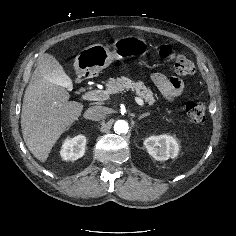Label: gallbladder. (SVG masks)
Instances as JSON below:
<instances>
[{
    "instance_id": "obj_1",
    "label": "gallbladder",
    "mask_w": 236,
    "mask_h": 236,
    "mask_svg": "<svg viewBox=\"0 0 236 236\" xmlns=\"http://www.w3.org/2000/svg\"><path fill=\"white\" fill-rule=\"evenodd\" d=\"M39 62L42 63L45 69V75L52 81L57 83H63L66 74L59 64V62L51 55L44 54L39 57Z\"/></svg>"
}]
</instances>
